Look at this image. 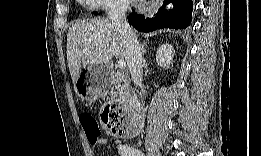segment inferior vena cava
I'll return each mask as SVG.
<instances>
[{
  "instance_id": "obj_1",
  "label": "inferior vena cava",
  "mask_w": 261,
  "mask_h": 156,
  "mask_svg": "<svg viewBox=\"0 0 261 156\" xmlns=\"http://www.w3.org/2000/svg\"><path fill=\"white\" fill-rule=\"evenodd\" d=\"M129 2L126 0H112L109 2L106 12L111 23L125 39V54L129 71L134 84L141 86L143 80V58L139 42L126 20V11Z\"/></svg>"
}]
</instances>
